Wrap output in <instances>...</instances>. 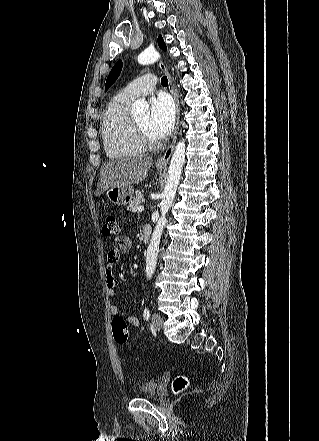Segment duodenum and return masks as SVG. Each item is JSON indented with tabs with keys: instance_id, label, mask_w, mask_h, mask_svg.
<instances>
[{
	"instance_id": "obj_1",
	"label": "duodenum",
	"mask_w": 319,
	"mask_h": 441,
	"mask_svg": "<svg viewBox=\"0 0 319 441\" xmlns=\"http://www.w3.org/2000/svg\"><path fill=\"white\" fill-rule=\"evenodd\" d=\"M152 228L150 225H144L142 230L143 241L148 242L151 238Z\"/></svg>"
}]
</instances>
